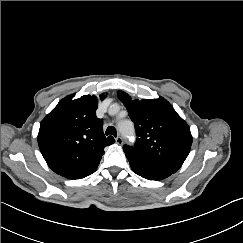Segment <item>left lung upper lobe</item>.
<instances>
[{"mask_svg": "<svg viewBox=\"0 0 243 243\" xmlns=\"http://www.w3.org/2000/svg\"><path fill=\"white\" fill-rule=\"evenodd\" d=\"M118 97L134 122L137 135L136 143L125 145L124 152L182 165L190 152L192 135L169 102L164 98L132 101L123 91H118Z\"/></svg>", "mask_w": 243, "mask_h": 243, "instance_id": "1", "label": "left lung upper lobe"}]
</instances>
